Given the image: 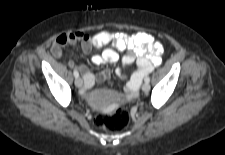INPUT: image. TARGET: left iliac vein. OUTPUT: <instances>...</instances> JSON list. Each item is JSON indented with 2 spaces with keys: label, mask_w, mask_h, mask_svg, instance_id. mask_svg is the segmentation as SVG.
Masks as SVG:
<instances>
[{
  "label": "left iliac vein",
  "mask_w": 225,
  "mask_h": 155,
  "mask_svg": "<svg viewBox=\"0 0 225 155\" xmlns=\"http://www.w3.org/2000/svg\"><path fill=\"white\" fill-rule=\"evenodd\" d=\"M142 90L144 92H148L150 90V84L145 82L143 85H142Z\"/></svg>",
  "instance_id": "1"
}]
</instances>
